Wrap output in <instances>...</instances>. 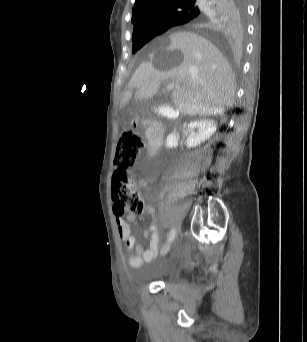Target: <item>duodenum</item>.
<instances>
[{
  "mask_svg": "<svg viewBox=\"0 0 307 342\" xmlns=\"http://www.w3.org/2000/svg\"><path fill=\"white\" fill-rule=\"evenodd\" d=\"M156 121L155 117H145L143 119L146 126L150 128L148 136V154L150 156L156 155L159 152L165 139V129L162 124Z\"/></svg>",
  "mask_w": 307,
  "mask_h": 342,
  "instance_id": "410a0bca",
  "label": "duodenum"
}]
</instances>
